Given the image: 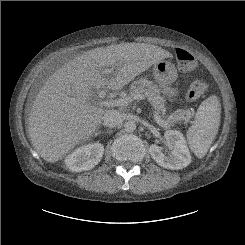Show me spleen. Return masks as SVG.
<instances>
[{
    "label": "spleen",
    "instance_id": "1",
    "mask_svg": "<svg viewBox=\"0 0 245 245\" xmlns=\"http://www.w3.org/2000/svg\"><path fill=\"white\" fill-rule=\"evenodd\" d=\"M221 104L211 95L199 106L195 123L187 131V141L194 154L202 158L213 143L220 125Z\"/></svg>",
    "mask_w": 245,
    "mask_h": 245
}]
</instances>
